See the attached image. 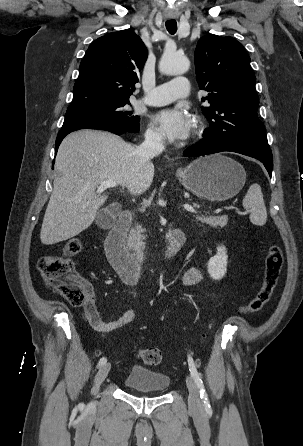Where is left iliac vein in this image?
I'll return each mask as SVG.
<instances>
[{
    "label": "left iliac vein",
    "instance_id": "4c4485c4",
    "mask_svg": "<svg viewBox=\"0 0 303 446\" xmlns=\"http://www.w3.org/2000/svg\"><path fill=\"white\" fill-rule=\"evenodd\" d=\"M186 384L189 391V397H188L189 407L193 412L199 413L202 411V404L198 387L193 378L189 375L186 377Z\"/></svg>",
    "mask_w": 303,
    "mask_h": 446
}]
</instances>
